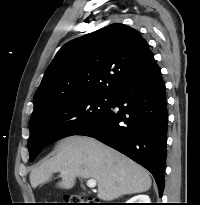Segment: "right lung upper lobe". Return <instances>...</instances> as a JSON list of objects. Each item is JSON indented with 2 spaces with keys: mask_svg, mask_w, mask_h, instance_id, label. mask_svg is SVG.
Listing matches in <instances>:
<instances>
[{
  "mask_svg": "<svg viewBox=\"0 0 200 205\" xmlns=\"http://www.w3.org/2000/svg\"><path fill=\"white\" fill-rule=\"evenodd\" d=\"M155 63L137 30L115 23L65 44L34 95L31 118L74 97L112 96Z\"/></svg>",
  "mask_w": 200,
  "mask_h": 205,
  "instance_id": "cb5924a9",
  "label": "right lung upper lobe"
}]
</instances>
